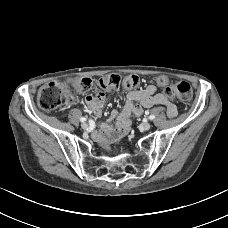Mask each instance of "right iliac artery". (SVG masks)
<instances>
[{"label": "right iliac artery", "instance_id": "82829eb1", "mask_svg": "<svg viewBox=\"0 0 228 228\" xmlns=\"http://www.w3.org/2000/svg\"><path fill=\"white\" fill-rule=\"evenodd\" d=\"M86 120H87V119H86L85 117H81V118H80V121H81V122H85Z\"/></svg>", "mask_w": 228, "mask_h": 228}]
</instances>
